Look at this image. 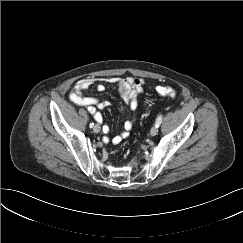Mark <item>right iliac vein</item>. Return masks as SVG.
<instances>
[{
	"instance_id": "1",
	"label": "right iliac vein",
	"mask_w": 243,
	"mask_h": 243,
	"mask_svg": "<svg viewBox=\"0 0 243 243\" xmlns=\"http://www.w3.org/2000/svg\"><path fill=\"white\" fill-rule=\"evenodd\" d=\"M100 130H101V127H100L99 124H96V125L93 127V131H94L95 133H99Z\"/></svg>"
}]
</instances>
